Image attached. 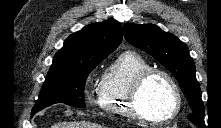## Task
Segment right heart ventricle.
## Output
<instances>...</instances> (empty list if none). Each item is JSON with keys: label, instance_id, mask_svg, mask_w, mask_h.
<instances>
[{"label": "right heart ventricle", "instance_id": "e07e8e85", "mask_svg": "<svg viewBox=\"0 0 221 128\" xmlns=\"http://www.w3.org/2000/svg\"><path fill=\"white\" fill-rule=\"evenodd\" d=\"M150 68V63L138 52L128 50L119 54L103 75L98 95L100 108L114 116L132 117L128 94L136 77Z\"/></svg>", "mask_w": 221, "mask_h": 128}]
</instances>
